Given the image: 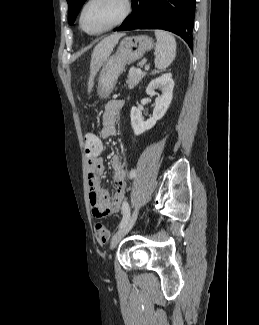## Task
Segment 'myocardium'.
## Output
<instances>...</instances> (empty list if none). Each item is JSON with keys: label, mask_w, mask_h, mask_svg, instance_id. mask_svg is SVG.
<instances>
[{"label": "myocardium", "mask_w": 259, "mask_h": 325, "mask_svg": "<svg viewBox=\"0 0 259 325\" xmlns=\"http://www.w3.org/2000/svg\"><path fill=\"white\" fill-rule=\"evenodd\" d=\"M93 0H86L81 8H80V11H79V15H78V24H79V28L86 34L88 35H100V34H103L105 32H108L112 29H114L115 27L121 25L128 17L129 15L131 14L132 12V0H122V3H123V12L121 14V16L115 21L113 22L112 24H110L109 26L101 29V30H98V31H95V32H90L88 30L85 29L84 25H83V15H84V11L85 9L87 8V6L92 2Z\"/></svg>", "instance_id": "obj_1"}]
</instances>
